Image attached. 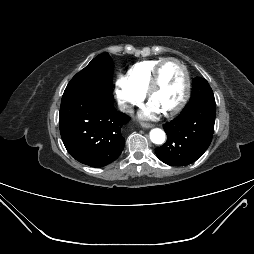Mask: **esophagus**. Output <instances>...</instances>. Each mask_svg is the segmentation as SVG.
Listing matches in <instances>:
<instances>
[{
  "mask_svg": "<svg viewBox=\"0 0 254 254\" xmlns=\"http://www.w3.org/2000/svg\"><path fill=\"white\" fill-rule=\"evenodd\" d=\"M140 124L143 128H146V129L154 127V125L150 123L141 122Z\"/></svg>",
  "mask_w": 254,
  "mask_h": 254,
  "instance_id": "obj_1",
  "label": "esophagus"
}]
</instances>
